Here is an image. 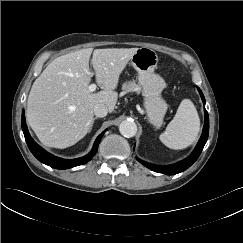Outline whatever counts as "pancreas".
I'll list each match as a JSON object with an SVG mask.
<instances>
[{
    "label": "pancreas",
    "instance_id": "obj_1",
    "mask_svg": "<svg viewBox=\"0 0 243 243\" xmlns=\"http://www.w3.org/2000/svg\"><path fill=\"white\" fill-rule=\"evenodd\" d=\"M122 89L125 92H136V93H139L140 90H141V87L135 81H128V82H125L122 85Z\"/></svg>",
    "mask_w": 243,
    "mask_h": 243
}]
</instances>
